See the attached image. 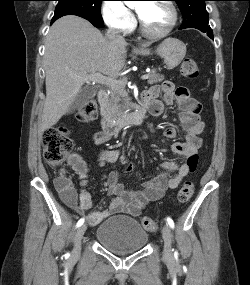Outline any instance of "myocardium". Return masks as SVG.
Instances as JSON below:
<instances>
[{"instance_id":"myocardium-1","label":"myocardium","mask_w":250,"mask_h":285,"mask_svg":"<svg viewBox=\"0 0 250 285\" xmlns=\"http://www.w3.org/2000/svg\"><path fill=\"white\" fill-rule=\"evenodd\" d=\"M161 3L165 4L171 12V22H170L169 26L163 32H161V33L150 32L149 30L146 29L143 21L141 20V18L139 16L140 32L142 33L143 36H145L149 39L160 40V39L167 37L174 30V28L176 27V25L178 23V11H177L175 4L170 0H163V2H161Z\"/></svg>"}]
</instances>
